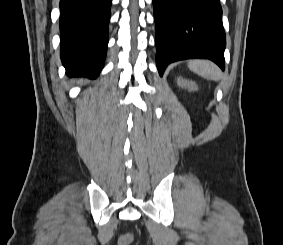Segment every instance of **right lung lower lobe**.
Returning <instances> with one entry per match:
<instances>
[{
	"mask_svg": "<svg viewBox=\"0 0 283 245\" xmlns=\"http://www.w3.org/2000/svg\"><path fill=\"white\" fill-rule=\"evenodd\" d=\"M112 0H60L61 59L68 76L95 78L108 45Z\"/></svg>",
	"mask_w": 283,
	"mask_h": 245,
	"instance_id": "98d812e1",
	"label": "right lung lower lobe"
}]
</instances>
